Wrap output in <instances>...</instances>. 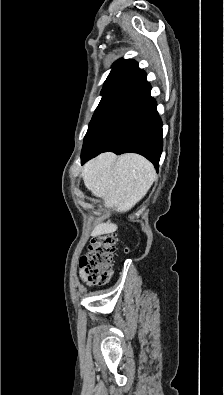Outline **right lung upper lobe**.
I'll return each instance as SVG.
<instances>
[{
    "label": "right lung upper lobe",
    "instance_id": "obj_1",
    "mask_svg": "<svg viewBox=\"0 0 224 395\" xmlns=\"http://www.w3.org/2000/svg\"><path fill=\"white\" fill-rule=\"evenodd\" d=\"M128 61H129V59H127V60L119 59L118 61H116L113 64L112 70L109 75L118 74L120 72V70L123 68V66L125 65V63H127Z\"/></svg>",
    "mask_w": 224,
    "mask_h": 395
}]
</instances>
